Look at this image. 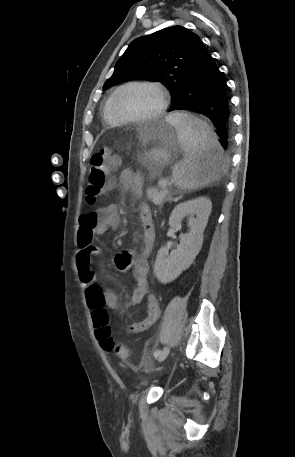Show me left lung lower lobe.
Here are the masks:
<instances>
[{
    "instance_id": "0a47b994",
    "label": "left lung lower lobe",
    "mask_w": 295,
    "mask_h": 457,
    "mask_svg": "<svg viewBox=\"0 0 295 457\" xmlns=\"http://www.w3.org/2000/svg\"><path fill=\"white\" fill-rule=\"evenodd\" d=\"M185 82L169 111L188 109L208 117L215 125L224 149L231 142V115L227 87L218 66L204 44L186 70Z\"/></svg>"
}]
</instances>
